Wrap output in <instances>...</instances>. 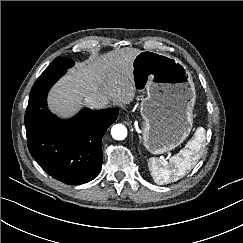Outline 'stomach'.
Returning <instances> with one entry per match:
<instances>
[{"mask_svg": "<svg viewBox=\"0 0 243 243\" xmlns=\"http://www.w3.org/2000/svg\"><path fill=\"white\" fill-rule=\"evenodd\" d=\"M138 91H146L141 102L142 139L152 154H163L180 145L193 127L195 86L190 72L177 58L150 50L133 61Z\"/></svg>", "mask_w": 243, "mask_h": 243, "instance_id": "obj_1", "label": "stomach"}]
</instances>
